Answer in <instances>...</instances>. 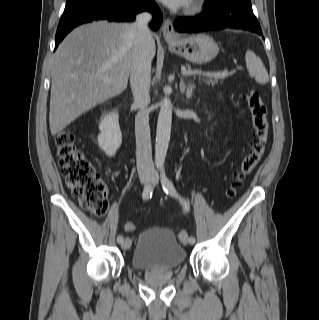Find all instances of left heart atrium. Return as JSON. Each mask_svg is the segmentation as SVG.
I'll return each mask as SVG.
<instances>
[{
  "mask_svg": "<svg viewBox=\"0 0 319 320\" xmlns=\"http://www.w3.org/2000/svg\"><path fill=\"white\" fill-rule=\"evenodd\" d=\"M170 8H180L189 4L191 0H159Z\"/></svg>",
  "mask_w": 319,
  "mask_h": 320,
  "instance_id": "1",
  "label": "left heart atrium"
}]
</instances>
